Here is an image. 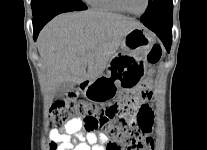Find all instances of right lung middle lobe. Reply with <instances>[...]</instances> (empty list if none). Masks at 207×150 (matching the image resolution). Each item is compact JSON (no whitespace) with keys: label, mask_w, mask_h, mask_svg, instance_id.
<instances>
[{"label":"right lung middle lobe","mask_w":207,"mask_h":150,"mask_svg":"<svg viewBox=\"0 0 207 150\" xmlns=\"http://www.w3.org/2000/svg\"><path fill=\"white\" fill-rule=\"evenodd\" d=\"M31 7L33 17L55 7H65L73 11L87 9L81 0H31Z\"/></svg>","instance_id":"right-lung-middle-lobe-1"}]
</instances>
